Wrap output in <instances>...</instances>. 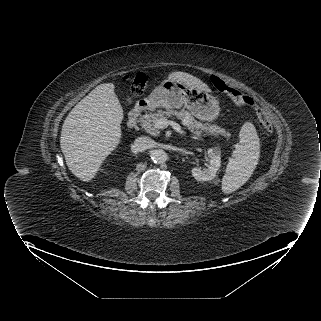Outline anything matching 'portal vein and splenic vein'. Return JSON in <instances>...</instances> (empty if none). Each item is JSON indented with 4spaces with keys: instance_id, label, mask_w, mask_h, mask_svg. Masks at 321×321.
Segmentation results:
<instances>
[{
    "instance_id": "18ae733b",
    "label": "portal vein and splenic vein",
    "mask_w": 321,
    "mask_h": 321,
    "mask_svg": "<svg viewBox=\"0 0 321 321\" xmlns=\"http://www.w3.org/2000/svg\"><path fill=\"white\" fill-rule=\"evenodd\" d=\"M169 125L172 126L173 129H174L177 133H179V134H181V135H183V134L186 133L185 131H183V130L181 129V127H180L179 124H177V123L174 122V121L167 120L166 118H161V119H159V120H157V121L155 122V126H156L157 128H160V129H164V128L168 127ZM193 138L196 139V137H193Z\"/></svg>"
}]
</instances>
